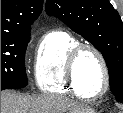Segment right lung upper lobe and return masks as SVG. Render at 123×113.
Returning <instances> with one entry per match:
<instances>
[{
	"mask_svg": "<svg viewBox=\"0 0 123 113\" xmlns=\"http://www.w3.org/2000/svg\"><path fill=\"white\" fill-rule=\"evenodd\" d=\"M42 6L43 0H1V38L30 35Z\"/></svg>",
	"mask_w": 123,
	"mask_h": 113,
	"instance_id": "right-lung-upper-lobe-1",
	"label": "right lung upper lobe"
}]
</instances>
